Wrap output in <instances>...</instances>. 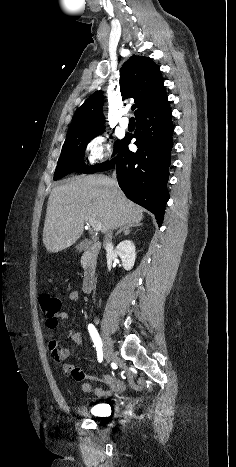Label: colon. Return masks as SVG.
Segmentation results:
<instances>
[{
    "instance_id": "colon-1",
    "label": "colon",
    "mask_w": 236,
    "mask_h": 467,
    "mask_svg": "<svg viewBox=\"0 0 236 467\" xmlns=\"http://www.w3.org/2000/svg\"><path fill=\"white\" fill-rule=\"evenodd\" d=\"M39 304L42 313L47 317H52L61 311V301L50 293H41L39 295Z\"/></svg>"
}]
</instances>
